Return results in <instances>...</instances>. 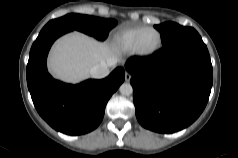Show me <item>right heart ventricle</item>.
Wrapping results in <instances>:
<instances>
[{"mask_svg":"<svg viewBox=\"0 0 238 158\" xmlns=\"http://www.w3.org/2000/svg\"><path fill=\"white\" fill-rule=\"evenodd\" d=\"M144 28L145 26H133L120 30L113 37L115 46L124 52L131 51L137 34Z\"/></svg>","mask_w":238,"mask_h":158,"instance_id":"e07e8e85","label":"right heart ventricle"}]
</instances>
